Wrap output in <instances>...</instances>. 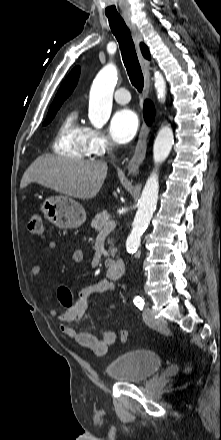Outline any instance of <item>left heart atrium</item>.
<instances>
[{
    "label": "left heart atrium",
    "mask_w": 221,
    "mask_h": 440,
    "mask_svg": "<svg viewBox=\"0 0 221 440\" xmlns=\"http://www.w3.org/2000/svg\"><path fill=\"white\" fill-rule=\"evenodd\" d=\"M138 126L139 121L135 112L121 109L111 119L110 132L115 141L126 143L135 136Z\"/></svg>",
    "instance_id": "39dd6f15"
}]
</instances>
